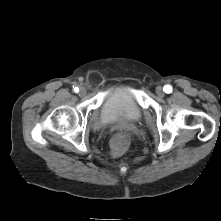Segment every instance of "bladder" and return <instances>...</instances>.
Wrapping results in <instances>:
<instances>
[{"label":"bladder","instance_id":"31cf9c89","mask_svg":"<svg viewBox=\"0 0 221 221\" xmlns=\"http://www.w3.org/2000/svg\"><path fill=\"white\" fill-rule=\"evenodd\" d=\"M143 111L134 90L119 86L110 89L100 106L96 125L103 126L119 121L136 122L142 118Z\"/></svg>","mask_w":221,"mask_h":221}]
</instances>
